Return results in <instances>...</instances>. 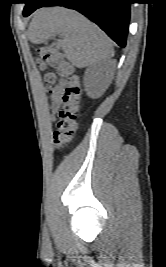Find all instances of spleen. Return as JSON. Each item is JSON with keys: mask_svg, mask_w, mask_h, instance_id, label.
Returning a JSON list of instances; mask_svg holds the SVG:
<instances>
[{"mask_svg": "<svg viewBox=\"0 0 166 267\" xmlns=\"http://www.w3.org/2000/svg\"><path fill=\"white\" fill-rule=\"evenodd\" d=\"M30 33L37 41L62 35V49L68 60L78 67L106 61L114 54L110 39L97 25L64 7H49L36 13Z\"/></svg>", "mask_w": 166, "mask_h": 267, "instance_id": "obj_1", "label": "spleen"}]
</instances>
